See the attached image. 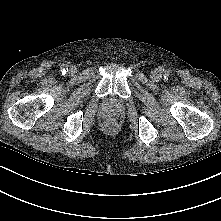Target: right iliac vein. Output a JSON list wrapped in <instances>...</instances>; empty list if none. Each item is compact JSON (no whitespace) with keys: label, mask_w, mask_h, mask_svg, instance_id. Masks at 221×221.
Masks as SVG:
<instances>
[{"label":"right iliac vein","mask_w":221,"mask_h":221,"mask_svg":"<svg viewBox=\"0 0 221 221\" xmlns=\"http://www.w3.org/2000/svg\"><path fill=\"white\" fill-rule=\"evenodd\" d=\"M75 67L74 66H70L69 67V72L71 73V74H73V73H75Z\"/></svg>","instance_id":"obj_1"}]
</instances>
